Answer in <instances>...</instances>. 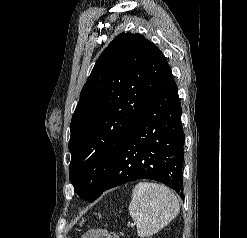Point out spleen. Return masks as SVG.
Wrapping results in <instances>:
<instances>
[{
    "instance_id": "1",
    "label": "spleen",
    "mask_w": 247,
    "mask_h": 238,
    "mask_svg": "<svg viewBox=\"0 0 247 238\" xmlns=\"http://www.w3.org/2000/svg\"><path fill=\"white\" fill-rule=\"evenodd\" d=\"M179 210L176 195L164 185L139 182L132 191L129 213L142 238L150 237L168 225Z\"/></svg>"
}]
</instances>
